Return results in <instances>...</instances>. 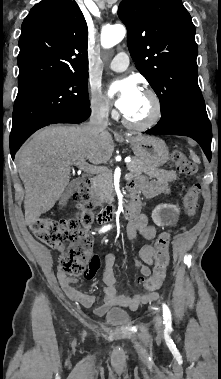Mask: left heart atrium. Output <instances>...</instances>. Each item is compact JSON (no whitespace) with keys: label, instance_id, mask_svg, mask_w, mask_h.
I'll use <instances>...</instances> for the list:
<instances>
[{"label":"left heart atrium","instance_id":"left-heart-atrium-1","mask_svg":"<svg viewBox=\"0 0 221 379\" xmlns=\"http://www.w3.org/2000/svg\"><path fill=\"white\" fill-rule=\"evenodd\" d=\"M141 95L137 82L133 78L116 81L108 88L109 98L124 115L135 107Z\"/></svg>","mask_w":221,"mask_h":379}]
</instances>
